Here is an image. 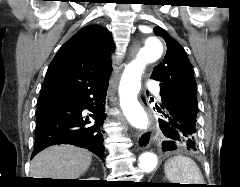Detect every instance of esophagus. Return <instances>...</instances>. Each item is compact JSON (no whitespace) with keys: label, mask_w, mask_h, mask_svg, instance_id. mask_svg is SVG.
I'll return each mask as SVG.
<instances>
[{"label":"esophagus","mask_w":240,"mask_h":187,"mask_svg":"<svg viewBox=\"0 0 240 187\" xmlns=\"http://www.w3.org/2000/svg\"><path fill=\"white\" fill-rule=\"evenodd\" d=\"M139 48H140V45L137 42L135 41L132 42L129 48V57L135 58L139 51ZM136 146L138 149H145L149 146V142L147 139H144L143 137H141V134H139L137 136Z\"/></svg>","instance_id":"1"}]
</instances>
